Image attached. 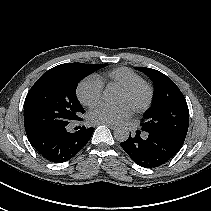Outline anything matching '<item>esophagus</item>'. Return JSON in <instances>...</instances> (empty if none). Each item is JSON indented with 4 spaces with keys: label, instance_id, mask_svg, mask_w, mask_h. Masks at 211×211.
Instances as JSON below:
<instances>
[{
    "label": "esophagus",
    "instance_id": "1",
    "mask_svg": "<svg viewBox=\"0 0 211 211\" xmlns=\"http://www.w3.org/2000/svg\"><path fill=\"white\" fill-rule=\"evenodd\" d=\"M104 125L108 126L110 129L115 130L117 127L113 124L104 123Z\"/></svg>",
    "mask_w": 211,
    "mask_h": 211
}]
</instances>
